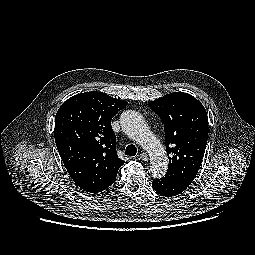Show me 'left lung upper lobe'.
I'll return each mask as SVG.
<instances>
[{
  "mask_svg": "<svg viewBox=\"0 0 255 255\" xmlns=\"http://www.w3.org/2000/svg\"><path fill=\"white\" fill-rule=\"evenodd\" d=\"M165 131L169 165L165 177L190 185L198 173L208 138V116L204 106L183 92L167 94L148 103Z\"/></svg>",
  "mask_w": 255,
  "mask_h": 255,
  "instance_id": "1",
  "label": "left lung upper lobe"
}]
</instances>
